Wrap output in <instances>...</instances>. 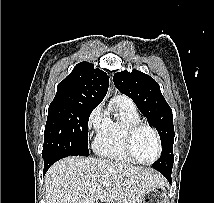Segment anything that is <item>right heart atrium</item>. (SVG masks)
I'll return each instance as SVG.
<instances>
[{
  "instance_id": "1",
  "label": "right heart atrium",
  "mask_w": 214,
  "mask_h": 203,
  "mask_svg": "<svg viewBox=\"0 0 214 203\" xmlns=\"http://www.w3.org/2000/svg\"><path fill=\"white\" fill-rule=\"evenodd\" d=\"M108 121V115L100 104L96 106L89 114L87 119V129L91 135H97L105 128Z\"/></svg>"
}]
</instances>
